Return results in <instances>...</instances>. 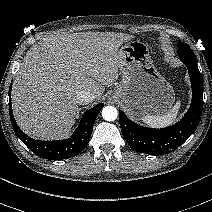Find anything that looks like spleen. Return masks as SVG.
I'll return each instance as SVG.
<instances>
[{
    "label": "spleen",
    "mask_w": 212,
    "mask_h": 212,
    "mask_svg": "<svg viewBox=\"0 0 212 212\" xmlns=\"http://www.w3.org/2000/svg\"><path fill=\"white\" fill-rule=\"evenodd\" d=\"M181 106L180 100L170 109L166 114L163 115H145L142 117V121L153 128H162L173 124L176 120L179 109Z\"/></svg>",
    "instance_id": "1"
}]
</instances>
